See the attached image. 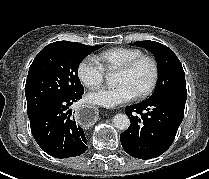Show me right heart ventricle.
Returning a JSON list of instances; mask_svg holds the SVG:
<instances>
[{
  "mask_svg": "<svg viewBox=\"0 0 209 179\" xmlns=\"http://www.w3.org/2000/svg\"><path fill=\"white\" fill-rule=\"evenodd\" d=\"M143 52L137 48L115 47L105 50L96 56V61L106 72L118 70Z\"/></svg>",
  "mask_w": 209,
  "mask_h": 179,
  "instance_id": "right-heart-ventricle-1",
  "label": "right heart ventricle"
}]
</instances>
